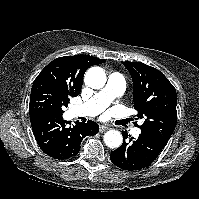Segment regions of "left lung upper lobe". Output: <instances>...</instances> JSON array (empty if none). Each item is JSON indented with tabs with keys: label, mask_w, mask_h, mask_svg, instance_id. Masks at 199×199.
I'll list each match as a JSON object with an SVG mask.
<instances>
[{
	"label": "left lung upper lobe",
	"mask_w": 199,
	"mask_h": 199,
	"mask_svg": "<svg viewBox=\"0 0 199 199\" xmlns=\"http://www.w3.org/2000/svg\"><path fill=\"white\" fill-rule=\"evenodd\" d=\"M132 76L134 107L144 118L141 133L167 143L177 122L174 86L157 69L141 62H123Z\"/></svg>",
	"instance_id": "5c2ea615"
}]
</instances>
